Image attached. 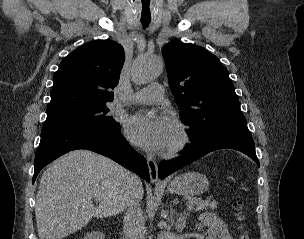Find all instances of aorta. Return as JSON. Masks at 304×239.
<instances>
[{
	"label": "aorta",
	"mask_w": 304,
	"mask_h": 239,
	"mask_svg": "<svg viewBox=\"0 0 304 239\" xmlns=\"http://www.w3.org/2000/svg\"><path fill=\"white\" fill-rule=\"evenodd\" d=\"M162 68L163 62L161 58L156 56L140 57L133 66V80L139 84L150 82L161 74ZM158 239H163L161 233Z\"/></svg>",
	"instance_id": "obj_1"
}]
</instances>
